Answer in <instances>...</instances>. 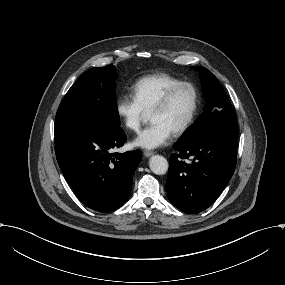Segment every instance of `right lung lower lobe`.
Masks as SVG:
<instances>
[{
  "mask_svg": "<svg viewBox=\"0 0 285 285\" xmlns=\"http://www.w3.org/2000/svg\"><path fill=\"white\" fill-rule=\"evenodd\" d=\"M125 141L126 136L120 128H55V153L59 167L85 206L108 212L118 209L128 200L132 176L142 157L138 150L111 153Z\"/></svg>",
  "mask_w": 285,
  "mask_h": 285,
  "instance_id": "right-lung-lower-lobe-1",
  "label": "right lung lower lobe"
}]
</instances>
